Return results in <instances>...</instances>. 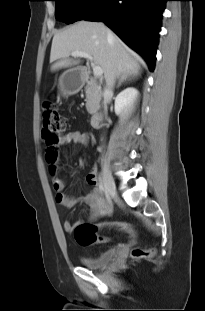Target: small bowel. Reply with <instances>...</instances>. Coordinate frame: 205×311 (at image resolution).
<instances>
[{
	"instance_id": "small-bowel-1",
	"label": "small bowel",
	"mask_w": 205,
	"mask_h": 311,
	"mask_svg": "<svg viewBox=\"0 0 205 311\" xmlns=\"http://www.w3.org/2000/svg\"><path fill=\"white\" fill-rule=\"evenodd\" d=\"M90 141V135L81 131H72L64 135L60 141L56 144V147H64L71 144L88 145ZM50 171L53 174V188L56 191V201L67 207H74L80 200H83L90 208V219H96L103 216L109 210L108 201L100 195L97 188V171L92 169L86 176V180L89 185L93 186V190L85 196L83 199H76L75 197L67 194L66 185L62 179L56 176L57 167L55 165L50 166ZM78 223L71 221L64 222V230L66 232H73Z\"/></svg>"
}]
</instances>
